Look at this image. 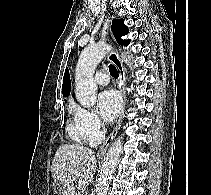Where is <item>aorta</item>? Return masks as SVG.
Wrapping results in <instances>:
<instances>
[{
    "label": "aorta",
    "mask_w": 211,
    "mask_h": 195,
    "mask_svg": "<svg viewBox=\"0 0 211 195\" xmlns=\"http://www.w3.org/2000/svg\"><path fill=\"white\" fill-rule=\"evenodd\" d=\"M111 50V47L105 43H98L94 46L85 48L79 57L76 66V89L75 95L78 102L86 107L91 108L94 106L97 98V85L94 82V72L99 62ZM125 62L131 65L130 57L122 56ZM122 150V140L119 137L116 139L108 149L106 154L101 175L96 187L95 195H106L110 179L115 172L119 154Z\"/></svg>",
    "instance_id": "1"
}]
</instances>
